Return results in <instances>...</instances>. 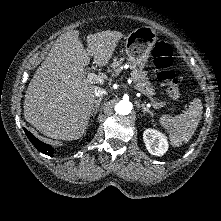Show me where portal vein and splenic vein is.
<instances>
[{
    "label": "portal vein and splenic vein",
    "instance_id": "18ae733b",
    "mask_svg": "<svg viewBox=\"0 0 221 221\" xmlns=\"http://www.w3.org/2000/svg\"><path fill=\"white\" fill-rule=\"evenodd\" d=\"M87 80L91 83H102L103 82V80L100 76H98V75H96L95 73H92V72L88 73ZM134 88H135V86H134ZM153 106L155 107L154 104H153Z\"/></svg>",
    "mask_w": 221,
    "mask_h": 221
}]
</instances>
